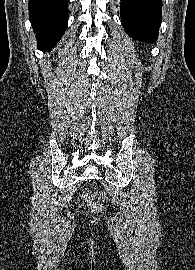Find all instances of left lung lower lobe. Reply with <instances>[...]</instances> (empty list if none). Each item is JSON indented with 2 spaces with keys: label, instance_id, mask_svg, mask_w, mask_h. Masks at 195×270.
<instances>
[{
  "label": "left lung lower lobe",
  "instance_id": "left-lung-lower-lobe-1",
  "mask_svg": "<svg viewBox=\"0 0 195 270\" xmlns=\"http://www.w3.org/2000/svg\"><path fill=\"white\" fill-rule=\"evenodd\" d=\"M161 8L162 0H121L120 16L126 33L135 40L155 43Z\"/></svg>",
  "mask_w": 195,
  "mask_h": 270
}]
</instances>
